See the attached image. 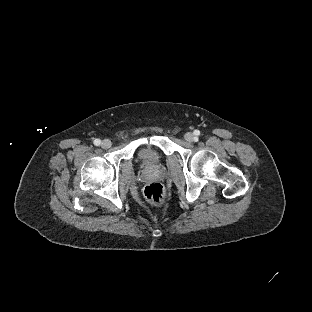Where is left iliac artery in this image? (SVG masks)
I'll return each mask as SVG.
<instances>
[{
    "instance_id": "44dca946",
    "label": "left iliac artery",
    "mask_w": 312,
    "mask_h": 312,
    "mask_svg": "<svg viewBox=\"0 0 312 312\" xmlns=\"http://www.w3.org/2000/svg\"><path fill=\"white\" fill-rule=\"evenodd\" d=\"M194 134H195V135H199V134H200V131H199V130H195V131H194Z\"/></svg>"
}]
</instances>
